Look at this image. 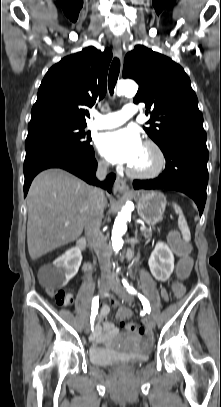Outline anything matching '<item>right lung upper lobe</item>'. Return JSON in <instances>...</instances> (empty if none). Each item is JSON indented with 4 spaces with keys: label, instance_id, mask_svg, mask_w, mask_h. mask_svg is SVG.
<instances>
[{
    "label": "right lung upper lobe",
    "instance_id": "1",
    "mask_svg": "<svg viewBox=\"0 0 221 407\" xmlns=\"http://www.w3.org/2000/svg\"><path fill=\"white\" fill-rule=\"evenodd\" d=\"M111 58L109 48L101 52L91 46L52 66L39 87L28 128L56 123L86 125L85 118L90 117L87 108L105 96Z\"/></svg>",
    "mask_w": 221,
    "mask_h": 407
}]
</instances>
